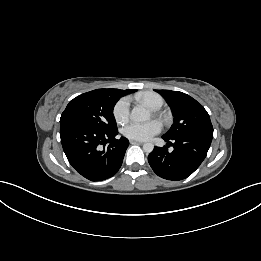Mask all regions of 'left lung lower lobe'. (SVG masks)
Instances as JSON below:
<instances>
[{
  "label": "left lung lower lobe",
  "instance_id": "1",
  "mask_svg": "<svg viewBox=\"0 0 261 261\" xmlns=\"http://www.w3.org/2000/svg\"><path fill=\"white\" fill-rule=\"evenodd\" d=\"M162 138L164 147H155L148 161L153 171L167 180H183L190 176L205 159L213 136L208 134H187L174 138ZM173 151H168L169 146Z\"/></svg>",
  "mask_w": 261,
  "mask_h": 261
}]
</instances>
